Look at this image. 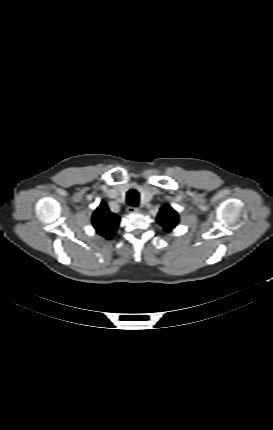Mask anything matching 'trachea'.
<instances>
[{
	"instance_id": "trachea-1",
	"label": "trachea",
	"mask_w": 273,
	"mask_h": 430,
	"mask_svg": "<svg viewBox=\"0 0 273 430\" xmlns=\"http://www.w3.org/2000/svg\"><path fill=\"white\" fill-rule=\"evenodd\" d=\"M139 194L136 190L131 189L127 192V202L129 205L136 207L138 205Z\"/></svg>"
}]
</instances>
